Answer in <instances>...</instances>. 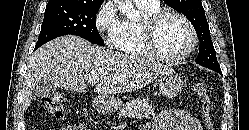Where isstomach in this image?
Here are the masks:
<instances>
[{
	"instance_id": "1",
	"label": "stomach",
	"mask_w": 249,
	"mask_h": 130,
	"mask_svg": "<svg viewBox=\"0 0 249 130\" xmlns=\"http://www.w3.org/2000/svg\"><path fill=\"white\" fill-rule=\"evenodd\" d=\"M184 81L175 72L167 73L159 77V92L165 97H174L182 92ZM122 105L119 98L113 96H99L95 106L99 112L110 114Z\"/></svg>"
}]
</instances>
